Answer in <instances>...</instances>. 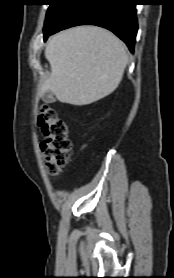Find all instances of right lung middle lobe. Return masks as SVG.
<instances>
[{
  "label": "right lung middle lobe",
  "instance_id": "dd1d6c3e",
  "mask_svg": "<svg viewBox=\"0 0 174 278\" xmlns=\"http://www.w3.org/2000/svg\"><path fill=\"white\" fill-rule=\"evenodd\" d=\"M76 1L77 0H47L50 6L46 15L44 32L53 28Z\"/></svg>",
  "mask_w": 174,
  "mask_h": 278
}]
</instances>
